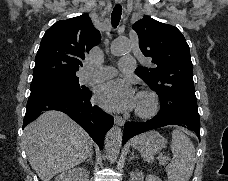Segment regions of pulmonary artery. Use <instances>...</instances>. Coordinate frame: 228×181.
Returning a JSON list of instances; mask_svg holds the SVG:
<instances>
[{"instance_id": "e3ab8cb5", "label": "pulmonary artery", "mask_w": 228, "mask_h": 181, "mask_svg": "<svg viewBox=\"0 0 228 181\" xmlns=\"http://www.w3.org/2000/svg\"><path fill=\"white\" fill-rule=\"evenodd\" d=\"M121 69L122 71H133V63L135 62V57H120ZM115 69L112 67H103L102 74H90V76L86 77L87 81L92 79H113V73Z\"/></svg>"}]
</instances>
